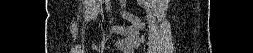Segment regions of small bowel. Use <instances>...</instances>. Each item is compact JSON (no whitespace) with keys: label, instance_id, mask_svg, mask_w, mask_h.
<instances>
[{"label":"small bowel","instance_id":"c3829d8e","mask_svg":"<svg viewBox=\"0 0 253 53\" xmlns=\"http://www.w3.org/2000/svg\"><path fill=\"white\" fill-rule=\"evenodd\" d=\"M142 2H146V1H142ZM121 13L126 20H128L132 23V26H130L128 28H123V27L114 25L111 27L110 30H111V32H114V33H124L127 36V38L123 42V46L129 52H132L134 49H136L140 45V43L143 39V38L139 37L138 30L145 28L146 24L144 22H142L137 16L127 12L123 6L121 8ZM108 45H109L108 42H102L100 44L94 43L93 47L100 49V48H104Z\"/></svg>","mask_w":253,"mask_h":53}]
</instances>
